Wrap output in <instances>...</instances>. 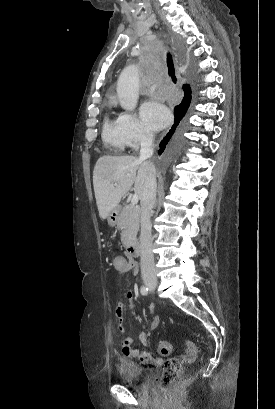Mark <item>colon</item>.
Here are the masks:
<instances>
[{"label": "colon", "instance_id": "5ec220e1", "mask_svg": "<svg viewBox=\"0 0 275 409\" xmlns=\"http://www.w3.org/2000/svg\"><path fill=\"white\" fill-rule=\"evenodd\" d=\"M113 263L115 264V269L119 274L125 273L124 259L122 256H115L113 258ZM159 351L162 358H167L169 352L171 351V342L169 340H161L159 342ZM198 356L197 346L191 342H185V351L181 358L173 357L166 361L164 366V372L160 380V385L162 388H168L175 385L182 374V367L184 364L193 363Z\"/></svg>", "mask_w": 275, "mask_h": 409}]
</instances>
